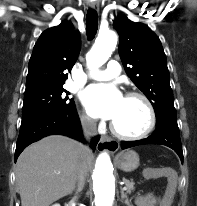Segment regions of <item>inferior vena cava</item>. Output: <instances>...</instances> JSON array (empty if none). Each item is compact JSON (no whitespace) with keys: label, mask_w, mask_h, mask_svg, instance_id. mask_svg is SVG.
<instances>
[{"label":"inferior vena cava","mask_w":197,"mask_h":206,"mask_svg":"<svg viewBox=\"0 0 197 206\" xmlns=\"http://www.w3.org/2000/svg\"><path fill=\"white\" fill-rule=\"evenodd\" d=\"M81 126L83 130V134L87 140H90L91 137H94L97 134V125L93 119L89 117H83L81 119ZM83 150L85 153L90 151L88 146H83ZM86 177H87V165L85 159H82L77 171V186H78L77 192L82 191L85 185Z\"/></svg>","instance_id":"obj_1"}]
</instances>
